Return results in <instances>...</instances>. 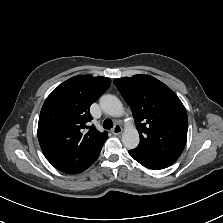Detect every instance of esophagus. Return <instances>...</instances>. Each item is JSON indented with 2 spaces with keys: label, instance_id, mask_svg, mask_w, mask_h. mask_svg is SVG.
Segmentation results:
<instances>
[{
  "label": "esophagus",
  "instance_id": "1",
  "mask_svg": "<svg viewBox=\"0 0 223 223\" xmlns=\"http://www.w3.org/2000/svg\"><path fill=\"white\" fill-rule=\"evenodd\" d=\"M122 131H123V129H122L121 125L117 123V124H115L114 128L112 129V134L119 135L122 133Z\"/></svg>",
  "mask_w": 223,
  "mask_h": 223
}]
</instances>
